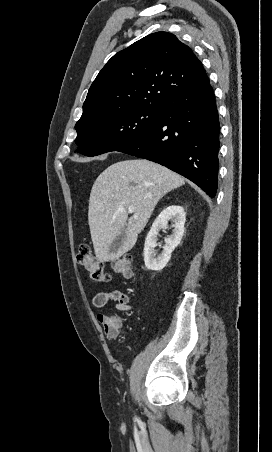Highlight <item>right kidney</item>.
Masks as SVG:
<instances>
[{"label":"right kidney","instance_id":"right-kidney-1","mask_svg":"<svg viewBox=\"0 0 272 452\" xmlns=\"http://www.w3.org/2000/svg\"><path fill=\"white\" fill-rule=\"evenodd\" d=\"M173 223L172 235L165 238L166 245L161 254L157 255V236L161 229L167 227L168 221ZM186 215L183 207L171 205L166 207L155 219L146 237L144 246V262L149 270L161 271L169 262L173 250L179 245L183 234Z\"/></svg>","mask_w":272,"mask_h":452}]
</instances>
